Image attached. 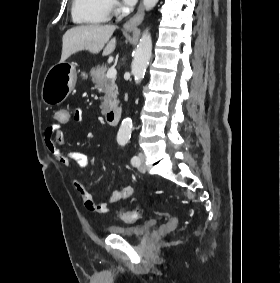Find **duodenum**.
I'll return each mask as SVG.
<instances>
[{"mask_svg":"<svg viewBox=\"0 0 280 283\" xmlns=\"http://www.w3.org/2000/svg\"><path fill=\"white\" fill-rule=\"evenodd\" d=\"M121 112L122 110L120 107L109 109L105 113L106 122L111 126L117 125L121 117Z\"/></svg>","mask_w":280,"mask_h":283,"instance_id":"obj_1","label":"duodenum"}]
</instances>
